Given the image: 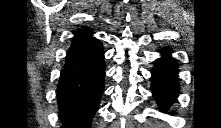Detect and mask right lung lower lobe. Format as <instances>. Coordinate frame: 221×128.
I'll list each match as a JSON object with an SVG mask.
<instances>
[{
  "instance_id": "obj_1",
  "label": "right lung lower lobe",
  "mask_w": 221,
  "mask_h": 128,
  "mask_svg": "<svg viewBox=\"0 0 221 128\" xmlns=\"http://www.w3.org/2000/svg\"><path fill=\"white\" fill-rule=\"evenodd\" d=\"M102 43L90 37L73 42L61 71L57 100L63 128H89L104 88Z\"/></svg>"
}]
</instances>
